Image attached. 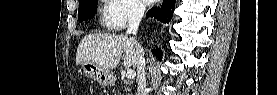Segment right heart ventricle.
Returning a JSON list of instances; mask_svg holds the SVG:
<instances>
[{"label": "right heart ventricle", "instance_id": "obj_1", "mask_svg": "<svg viewBox=\"0 0 277 95\" xmlns=\"http://www.w3.org/2000/svg\"><path fill=\"white\" fill-rule=\"evenodd\" d=\"M105 2V6H104V15H103V18H102V23L104 26L108 27V12L109 10L114 7L113 3L110 2V1H104Z\"/></svg>", "mask_w": 277, "mask_h": 95}]
</instances>
